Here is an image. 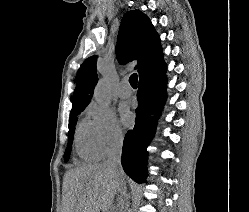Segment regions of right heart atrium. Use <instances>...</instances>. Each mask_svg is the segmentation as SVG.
<instances>
[{"instance_id":"obj_1","label":"right heart atrium","mask_w":249,"mask_h":212,"mask_svg":"<svg viewBox=\"0 0 249 212\" xmlns=\"http://www.w3.org/2000/svg\"><path fill=\"white\" fill-rule=\"evenodd\" d=\"M85 114L91 125V138L97 158L106 159L121 148L124 135L111 110L90 102Z\"/></svg>"}]
</instances>
